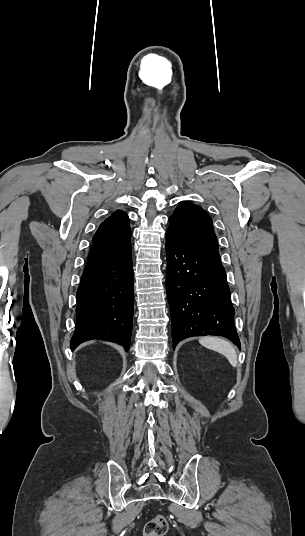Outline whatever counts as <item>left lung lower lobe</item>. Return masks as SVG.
<instances>
[{"instance_id": "0a47b994", "label": "left lung lower lobe", "mask_w": 305, "mask_h": 536, "mask_svg": "<svg viewBox=\"0 0 305 536\" xmlns=\"http://www.w3.org/2000/svg\"><path fill=\"white\" fill-rule=\"evenodd\" d=\"M166 253L173 348L188 337L219 335L240 349L233 323L235 311L218 251L188 245L166 233Z\"/></svg>"}]
</instances>
